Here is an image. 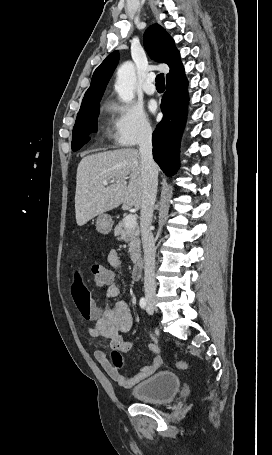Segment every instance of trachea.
Here are the masks:
<instances>
[{"instance_id":"obj_1","label":"trachea","mask_w":272,"mask_h":455,"mask_svg":"<svg viewBox=\"0 0 272 455\" xmlns=\"http://www.w3.org/2000/svg\"><path fill=\"white\" fill-rule=\"evenodd\" d=\"M156 86L157 87H165V79L164 74L160 73L156 76Z\"/></svg>"}]
</instances>
